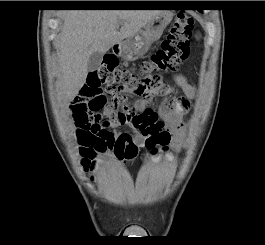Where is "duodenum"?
Here are the masks:
<instances>
[{
    "label": "duodenum",
    "instance_id": "410a0bca",
    "mask_svg": "<svg viewBox=\"0 0 265 245\" xmlns=\"http://www.w3.org/2000/svg\"><path fill=\"white\" fill-rule=\"evenodd\" d=\"M120 47L118 46V45H116L115 47H114V52L116 53V54H119L120 53Z\"/></svg>",
    "mask_w": 265,
    "mask_h": 245
}]
</instances>
